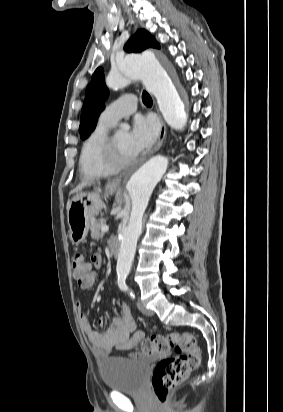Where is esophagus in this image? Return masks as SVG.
<instances>
[{
    "label": "esophagus",
    "mask_w": 283,
    "mask_h": 412,
    "mask_svg": "<svg viewBox=\"0 0 283 412\" xmlns=\"http://www.w3.org/2000/svg\"><path fill=\"white\" fill-rule=\"evenodd\" d=\"M165 137H166V125L163 122V120L161 119V127H160V131H159V135H158V140H157V143H156L155 147L151 151V154L155 153L156 151H158L161 148V146H162V144L165 140ZM121 180H122V176H119V177L113 179L110 182V184L114 185V186L120 185Z\"/></svg>",
    "instance_id": "esophagus-1"
}]
</instances>
